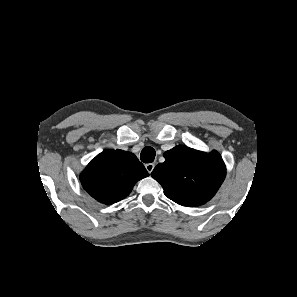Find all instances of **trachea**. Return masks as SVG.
Returning <instances> with one entry per match:
<instances>
[{"instance_id": "3493384b", "label": "trachea", "mask_w": 297, "mask_h": 297, "mask_svg": "<svg viewBox=\"0 0 297 297\" xmlns=\"http://www.w3.org/2000/svg\"><path fill=\"white\" fill-rule=\"evenodd\" d=\"M140 159L144 163H151L155 159V150L152 147H145L141 151Z\"/></svg>"}]
</instances>
